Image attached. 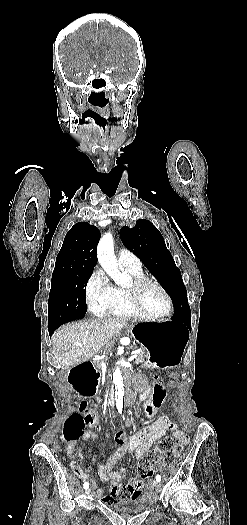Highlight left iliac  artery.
I'll list each match as a JSON object with an SVG mask.
<instances>
[{
    "label": "left iliac artery",
    "instance_id": "1",
    "mask_svg": "<svg viewBox=\"0 0 247 525\" xmlns=\"http://www.w3.org/2000/svg\"><path fill=\"white\" fill-rule=\"evenodd\" d=\"M156 481L157 482H160L161 481V476L159 474L156 475Z\"/></svg>",
    "mask_w": 247,
    "mask_h": 525
}]
</instances>
